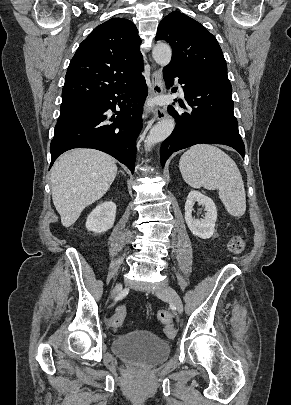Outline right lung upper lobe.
Listing matches in <instances>:
<instances>
[{"instance_id": "cb5924a9", "label": "right lung upper lobe", "mask_w": 291, "mask_h": 405, "mask_svg": "<svg viewBox=\"0 0 291 405\" xmlns=\"http://www.w3.org/2000/svg\"><path fill=\"white\" fill-rule=\"evenodd\" d=\"M141 44L133 22L112 18L80 44L67 69L62 104L92 101L143 70Z\"/></svg>"}]
</instances>
